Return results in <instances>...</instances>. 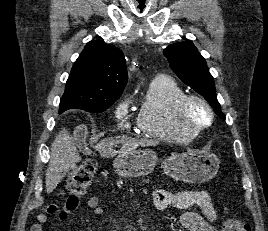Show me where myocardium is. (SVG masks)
I'll return each mask as SVG.
<instances>
[{
    "instance_id": "obj_1",
    "label": "myocardium",
    "mask_w": 268,
    "mask_h": 231,
    "mask_svg": "<svg viewBox=\"0 0 268 231\" xmlns=\"http://www.w3.org/2000/svg\"><path fill=\"white\" fill-rule=\"evenodd\" d=\"M193 104H198L206 110L208 115L206 122L197 125H191L189 123L187 119L188 111ZM176 119L181 130L192 138L211 125L213 120V110L203 97L196 94H188L180 98L177 103Z\"/></svg>"
}]
</instances>
